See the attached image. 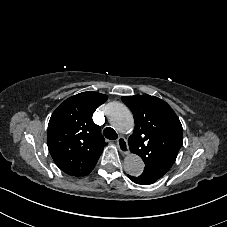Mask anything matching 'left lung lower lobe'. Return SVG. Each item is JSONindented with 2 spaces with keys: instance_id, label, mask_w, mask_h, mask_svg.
<instances>
[{
  "instance_id": "left-lung-lower-lobe-1",
  "label": "left lung lower lobe",
  "mask_w": 227,
  "mask_h": 227,
  "mask_svg": "<svg viewBox=\"0 0 227 227\" xmlns=\"http://www.w3.org/2000/svg\"><path fill=\"white\" fill-rule=\"evenodd\" d=\"M128 177L131 179V181H133L136 184H140V185H149L158 180L157 178H155L149 174H145V173H142L138 177H133L130 175H128Z\"/></svg>"
}]
</instances>
